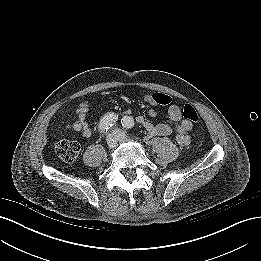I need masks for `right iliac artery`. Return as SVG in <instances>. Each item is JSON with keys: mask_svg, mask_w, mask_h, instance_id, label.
Masks as SVG:
<instances>
[{"mask_svg": "<svg viewBox=\"0 0 261 261\" xmlns=\"http://www.w3.org/2000/svg\"><path fill=\"white\" fill-rule=\"evenodd\" d=\"M118 117L116 116V114L114 113H108L106 114L99 123V131L100 133H105L108 131V129L110 127H112L116 121H117Z\"/></svg>", "mask_w": 261, "mask_h": 261, "instance_id": "82829eb1", "label": "right iliac artery"}]
</instances>
